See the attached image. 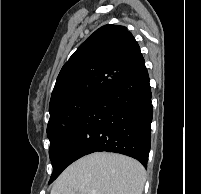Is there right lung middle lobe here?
Returning a JSON list of instances; mask_svg holds the SVG:
<instances>
[{"instance_id":"dd1d6c3e","label":"right lung middle lobe","mask_w":201,"mask_h":194,"mask_svg":"<svg viewBox=\"0 0 201 194\" xmlns=\"http://www.w3.org/2000/svg\"><path fill=\"white\" fill-rule=\"evenodd\" d=\"M100 95H85L64 101L49 110L50 119L47 126V137L50 140L49 156L53 166L49 184L56 177V163L53 154L62 136L70 127L72 122L77 119L88 107H90Z\"/></svg>"}]
</instances>
